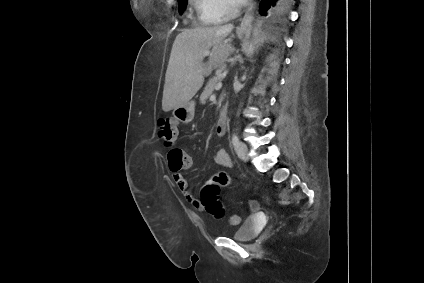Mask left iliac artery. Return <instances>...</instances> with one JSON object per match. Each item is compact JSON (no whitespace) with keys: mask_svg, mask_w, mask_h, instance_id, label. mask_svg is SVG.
<instances>
[{"mask_svg":"<svg viewBox=\"0 0 424 283\" xmlns=\"http://www.w3.org/2000/svg\"><path fill=\"white\" fill-rule=\"evenodd\" d=\"M239 143L240 142H239V138H238L237 134L233 133V135H232V144H233V146H234L235 149L238 147Z\"/></svg>","mask_w":424,"mask_h":283,"instance_id":"obj_1","label":"left iliac artery"}]
</instances>
